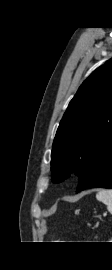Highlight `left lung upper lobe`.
<instances>
[{
  "label": "left lung upper lobe",
  "mask_w": 112,
  "mask_h": 270,
  "mask_svg": "<svg viewBox=\"0 0 112 270\" xmlns=\"http://www.w3.org/2000/svg\"><path fill=\"white\" fill-rule=\"evenodd\" d=\"M112 146V58L79 87L60 122L51 153L55 183L85 179Z\"/></svg>",
  "instance_id": "obj_1"
}]
</instances>
